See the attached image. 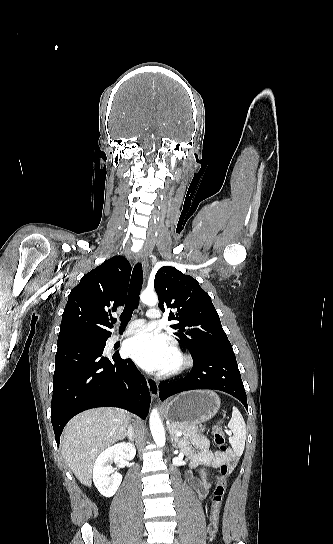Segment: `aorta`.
Instances as JSON below:
<instances>
[{
	"mask_svg": "<svg viewBox=\"0 0 333 544\" xmlns=\"http://www.w3.org/2000/svg\"><path fill=\"white\" fill-rule=\"evenodd\" d=\"M141 301L149 306L156 305L158 298L157 294L153 290H145L140 295ZM150 429L153 436V439L159 447L165 445V431L160 419V416L156 409H153L150 414Z\"/></svg>",
	"mask_w": 333,
	"mask_h": 544,
	"instance_id": "762f6f07",
	"label": "aorta"
}]
</instances>
